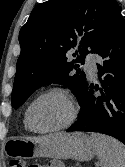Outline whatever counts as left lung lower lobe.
I'll return each instance as SVG.
<instances>
[{"mask_svg": "<svg viewBox=\"0 0 125 167\" xmlns=\"http://www.w3.org/2000/svg\"><path fill=\"white\" fill-rule=\"evenodd\" d=\"M96 53L101 57L97 64L101 96L95 97L93 85H87L79 99L80 117L67 131L98 132L125 144V21L121 14Z\"/></svg>", "mask_w": 125, "mask_h": 167, "instance_id": "0a47b994", "label": "left lung lower lobe"}]
</instances>
